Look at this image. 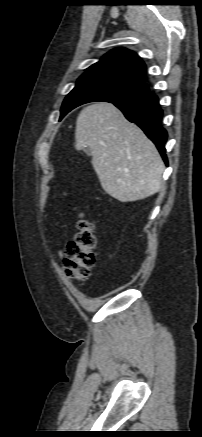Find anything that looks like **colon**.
<instances>
[{"label":"colon","mask_w":202,"mask_h":437,"mask_svg":"<svg viewBox=\"0 0 202 437\" xmlns=\"http://www.w3.org/2000/svg\"><path fill=\"white\" fill-rule=\"evenodd\" d=\"M96 243L94 224L81 213L77 231L65 250L64 271L69 278L84 281L91 276L96 264Z\"/></svg>","instance_id":"obj_1"}]
</instances>
